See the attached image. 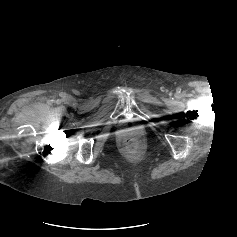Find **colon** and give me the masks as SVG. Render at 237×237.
Masks as SVG:
<instances>
[{
	"label": "colon",
	"instance_id": "obj_1",
	"mask_svg": "<svg viewBox=\"0 0 237 237\" xmlns=\"http://www.w3.org/2000/svg\"><path fill=\"white\" fill-rule=\"evenodd\" d=\"M124 149L129 154H139L143 150V143L140 137L130 135L124 139Z\"/></svg>",
	"mask_w": 237,
	"mask_h": 237
}]
</instances>
